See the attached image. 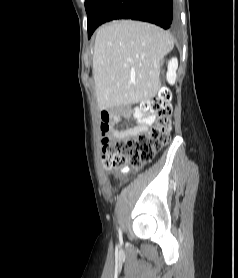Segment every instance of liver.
<instances>
[{
	"label": "liver",
	"mask_w": 238,
	"mask_h": 278,
	"mask_svg": "<svg viewBox=\"0 0 238 278\" xmlns=\"http://www.w3.org/2000/svg\"><path fill=\"white\" fill-rule=\"evenodd\" d=\"M174 47L163 29L140 21H113L96 34L95 95L100 110L144 104L161 88L160 63Z\"/></svg>",
	"instance_id": "obj_1"
}]
</instances>
